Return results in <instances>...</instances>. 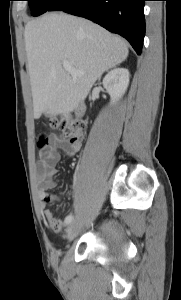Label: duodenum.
Here are the masks:
<instances>
[{"label":"duodenum","mask_w":181,"mask_h":300,"mask_svg":"<svg viewBox=\"0 0 181 300\" xmlns=\"http://www.w3.org/2000/svg\"><path fill=\"white\" fill-rule=\"evenodd\" d=\"M76 113L79 114V115H81V114L83 113V107L80 106V105H78V106L76 107Z\"/></svg>","instance_id":"duodenum-1"}]
</instances>
